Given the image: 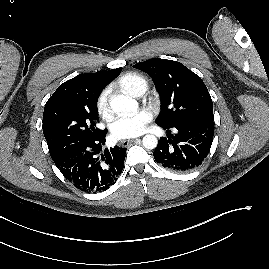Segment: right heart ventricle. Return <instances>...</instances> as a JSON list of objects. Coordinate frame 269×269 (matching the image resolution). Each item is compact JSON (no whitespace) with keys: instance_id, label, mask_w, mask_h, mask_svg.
<instances>
[{"instance_id":"e07e8e85","label":"right heart ventricle","mask_w":269,"mask_h":269,"mask_svg":"<svg viewBox=\"0 0 269 269\" xmlns=\"http://www.w3.org/2000/svg\"><path fill=\"white\" fill-rule=\"evenodd\" d=\"M117 86L126 94L139 96L145 92L148 86L146 78L137 72H127L120 76Z\"/></svg>"}]
</instances>
